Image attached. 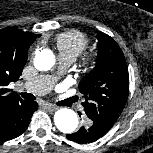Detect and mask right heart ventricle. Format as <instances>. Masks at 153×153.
Segmentation results:
<instances>
[{
  "label": "right heart ventricle",
  "mask_w": 153,
  "mask_h": 153,
  "mask_svg": "<svg viewBox=\"0 0 153 153\" xmlns=\"http://www.w3.org/2000/svg\"><path fill=\"white\" fill-rule=\"evenodd\" d=\"M55 44L60 58L74 61L87 48L89 39L78 30H69L59 34Z\"/></svg>",
  "instance_id": "1"
}]
</instances>
